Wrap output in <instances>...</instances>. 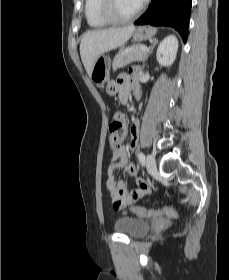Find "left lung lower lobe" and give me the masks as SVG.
Instances as JSON below:
<instances>
[{"mask_svg":"<svg viewBox=\"0 0 229 280\" xmlns=\"http://www.w3.org/2000/svg\"><path fill=\"white\" fill-rule=\"evenodd\" d=\"M192 0H151V5L136 25L169 26L187 40Z\"/></svg>","mask_w":229,"mask_h":280,"instance_id":"obj_1","label":"left lung lower lobe"}]
</instances>
